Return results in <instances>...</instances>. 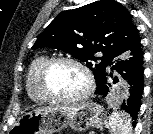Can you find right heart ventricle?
<instances>
[{
	"mask_svg": "<svg viewBox=\"0 0 153 134\" xmlns=\"http://www.w3.org/2000/svg\"><path fill=\"white\" fill-rule=\"evenodd\" d=\"M48 57L40 55L34 58L27 70L26 75V90L29 98L37 103H46L48 99L40 92L38 87V74Z\"/></svg>",
	"mask_w": 153,
	"mask_h": 134,
	"instance_id": "obj_1",
	"label": "right heart ventricle"
}]
</instances>
